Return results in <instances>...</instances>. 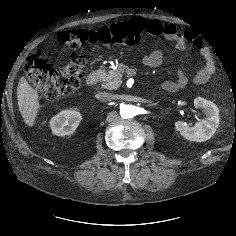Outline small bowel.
Wrapping results in <instances>:
<instances>
[{
    "mask_svg": "<svg viewBox=\"0 0 236 236\" xmlns=\"http://www.w3.org/2000/svg\"><path fill=\"white\" fill-rule=\"evenodd\" d=\"M145 30L152 36L163 37L167 40L173 41L178 49H185L188 44V40L198 47L201 57L203 59V66L195 75L193 81L195 84L202 85L208 82V80L214 76L216 67L213 62L212 55L208 49L202 46L201 41L196 35L187 36L177 26L173 24L163 25L157 20H149L145 22ZM163 60V52L161 50H155L143 58L145 65L150 67H156L161 64ZM188 76L180 71L175 81H165L163 88L169 92H175L185 88L188 85Z\"/></svg>",
    "mask_w": 236,
    "mask_h": 236,
    "instance_id": "c3829d8e",
    "label": "small bowel"
}]
</instances>
